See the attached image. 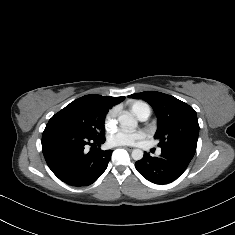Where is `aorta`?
Here are the masks:
<instances>
[{
    "mask_svg": "<svg viewBox=\"0 0 235 235\" xmlns=\"http://www.w3.org/2000/svg\"><path fill=\"white\" fill-rule=\"evenodd\" d=\"M118 121L123 130L135 129L138 125L137 120L130 113L120 115ZM131 156L136 161L141 160L143 158V151L141 149H133Z\"/></svg>",
    "mask_w": 235,
    "mask_h": 235,
    "instance_id": "obj_1",
    "label": "aorta"
}]
</instances>
